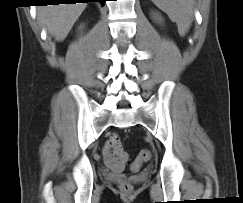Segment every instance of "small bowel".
I'll use <instances>...</instances> for the list:
<instances>
[{"label": "small bowel", "mask_w": 243, "mask_h": 203, "mask_svg": "<svg viewBox=\"0 0 243 203\" xmlns=\"http://www.w3.org/2000/svg\"><path fill=\"white\" fill-rule=\"evenodd\" d=\"M122 149L120 138L117 134L110 136L108 141L104 144L102 154L105 164L114 172L119 173L123 171L125 163L119 159V151ZM138 160H136L132 168L137 169L136 166Z\"/></svg>", "instance_id": "small-bowel-1"}]
</instances>
